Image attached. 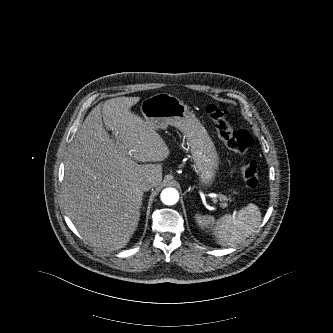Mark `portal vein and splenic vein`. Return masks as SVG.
<instances>
[{"instance_id":"18ae733b","label":"portal vein and splenic vein","mask_w":333,"mask_h":333,"mask_svg":"<svg viewBox=\"0 0 333 333\" xmlns=\"http://www.w3.org/2000/svg\"><path fill=\"white\" fill-rule=\"evenodd\" d=\"M208 196L211 197V198H219V199L223 198V199H225V196L222 195V194L208 193Z\"/></svg>"}]
</instances>
